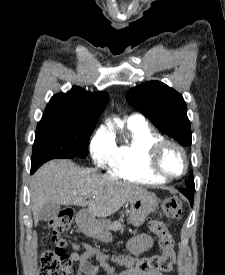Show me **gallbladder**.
I'll use <instances>...</instances> for the list:
<instances>
[{"label": "gallbladder", "instance_id": "gallbladder-1", "mask_svg": "<svg viewBox=\"0 0 225 275\" xmlns=\"http://www.w3.org/2000/svg\"><path fill=\"white\" fill-rule=\"evenodd\" d=\"M60 210L61 207L59 204L47 202L40 210L39 220L43 222L50 221L58 215Z\"/></svg>", "mask_w": 225, "mask_h": 275}]
</instances>
